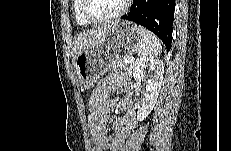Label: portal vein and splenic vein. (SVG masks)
Returning <instances> with one entry per match:
<instances>
[{"mask_svg": "<svg viewBox=\"0 0 231 151\" xmlns=\"http://www.w3.org/2000/svg\"><path fill=\"white\" fill-rule=\"evenodd\" d=\"M132 61H133V58H131V57L125 58V62H127V63L132 62Z\"/></svg>", "mask_w": 231, "mask_h": 151, "instance_id": "portal-vein-and-splenic-vein-1", "label": "portal vein and splenic vein"}]
</instances>
